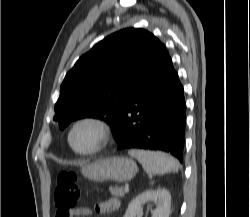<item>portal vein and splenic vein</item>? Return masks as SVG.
<instances>
[{
    "instance_id": "18ae733b",
    "label": "portal vein and splenic vein",
    "mask_w": 250,
    "mask_h": 217,
    "mask_svg": "<svg viewBox=\"0 0 250 217\" xmlns=\"http://www.w3.org/2000/svg\"><path fill=\"white\" fill-rule=\"evenodd\" d=\"M124 190H125L126 192H128V191H129V186H128L127 184L125 185Z\"/></svg>"
}]
</instances>
